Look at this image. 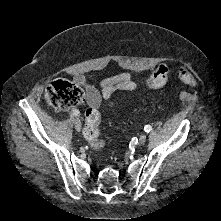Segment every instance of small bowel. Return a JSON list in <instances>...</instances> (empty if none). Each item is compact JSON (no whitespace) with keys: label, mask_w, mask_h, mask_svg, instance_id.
I'll use <instances>...</instances> for the list:
<instances>
[{"label":"small bowel","mask_w":221,"mask_h":221,"mask_svg":"<svg viewBox=\"0 0 221 221\" xmlns=\"http://www.w3.org/2000/svg\"><path fill=\"white\" fill-rule=\"evenodd\" d=\"M74 80L79 86L84 88L87 103L91 107L96 108L100 106L102 99L109 105H113L112 96L117 91L133 93L139 90L138 83L134 81L133 75L129 72L120 73L102 80L100 90L88 83L83 75H76Z\"/></svg>","instance_id":"small-bowel-1"}]
</instances>
